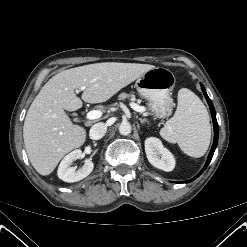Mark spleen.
<instances>
[{
	"label": "spleen",
	"instance_id": "obj_1",
	"mask_svg": "<svg viewBox=\"0 0 247 247\" xmlns=\"http://www.w3.org/2000/svg\"><path fill=\"white\" fill-rule=\"evenodd\" d=\"M160 135L170 143H177L187 155L202 157L210 144L211 126L205 105L191 90L178 91L175 114L160 130Z\"/></svg>",
	"mask_w": 247,
	"mask_h": 247
}]
</instances>
